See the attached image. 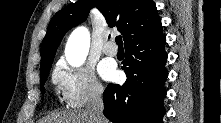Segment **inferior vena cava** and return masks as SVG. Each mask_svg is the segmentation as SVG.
<instances>
[{"label":"inferior vena cava","mask_w":221,"mask_h":123,"mask_svg":"<svg viewBox=\"0 0 221 123\" xmlns=\"http://www.w3.org/2000/svg\"><path fill=\"white\" fill-rule=\"evenodd\" d=\"M103 89L101 87L96 88L93 91L90 102L86 111L89 114L91 123H104L103 109L104 103L102 99Z\"/></svg>","instance_id":"obj_1"}]
</instances>
